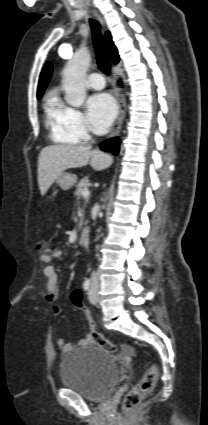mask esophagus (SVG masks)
<instances>
[{
    "label": "esophagus",
    "mask_w": 208,
    "mask_h": 425,
    "mask_svg": "<svg viewBox=\"0 0 208 425\" xmlns=\"http://www.w3.org/2000/svg\"><path fill=\"white\" fill-rule=\"evenodd\" d=\"M95 16L97 17V19L100 21V23L102 25H104V21L103 19L97 14L95 13ZM113 80L115 82V85L117 87V81H118V76L113 73ZM117 100H118V107H119V112H118V116L117 119L113 125L111 134H110V138L116 137L119 135L120 131H121V127H122V123L126 114V102L125 99L123 98V96L119 93H117Z\"/></svg>",
    "instance_id": "esophagus-1"
}]
</instances>
